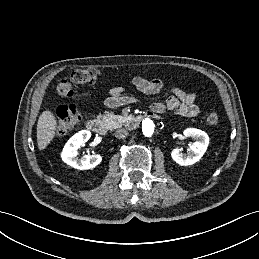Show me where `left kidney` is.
Listing matches in <instances>:
<instances>
[{
    "mask_svg": "<svg viewBox=\"0 0 259 259\" xmlns=\"http://www.w3.org/2000/svg\"><path fill=\"white\" fill-rule=\"evenodd\" d=\"M185 137H191L195 142L189 147V153L183 154L179 149H174L171 153L172 159L181 166H188L201 159L209 145L208 135L196 128H187L183 131Z\"/></svg>",
    "mask_w": 259,
    "mask_h": 259,
    "instance_id": "obj_1",
    "label": "left kidney"
}]
</instances>
